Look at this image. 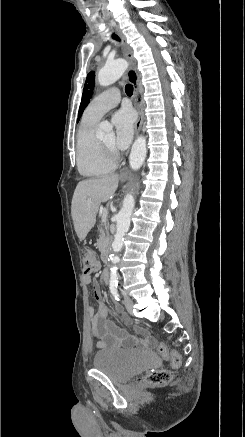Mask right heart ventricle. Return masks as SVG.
Returning a JSON list of instances; mask_svg holds the SVG:
<instances>
[{"label":"right heart ventricle","mask_w":245,"mask_h":437,"mask_svg":"<svg viewBox=\"0 0 245 437\" xmlns=\"http://www.w3.org/2000/svg\"><path fill=\"white\" fill-rule=\"evenodd\" d=\"M97 120L83 116L76 136V163L81 175L98 178L110 174L115 162L104 155L95 136Z\"/></svg>","instance_id":"1"}]
</instances>
